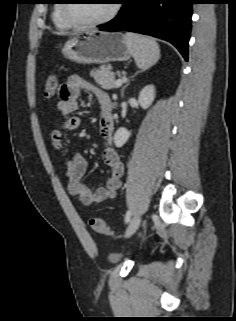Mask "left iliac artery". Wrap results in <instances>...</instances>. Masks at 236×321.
<instances>
[{"instance_id":"1","label":"left iliac artery","mask_w":236,"mask_h":321,"mask_svg":"<svg viewBox=\"0 0 236 321\" xmlns=\"http://www.w3.org/2000/svg\"><path fill=\"white\" fill-rule=\"evenodd\" d=\"M131 217V211H127L126 215H125V222L128 223Z\"/></svg>"}]
</instances>
